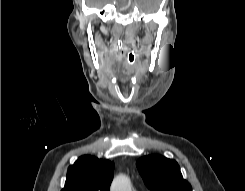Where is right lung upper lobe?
I'll use <instances>...</instances> for the list:
<instances>
[{"label": "right lung upper lobe", "instance_id": "right-lung-upper-lobe-1", "mask_svg": "<svg viewBox=\"0 0 245 191\" xmlns=\"http://www.w3.org/2000/svg\"><path fill=\"white\" fill-rule=\"evenodd\" d=\"M114 163L94 156H81L67 172L61 191H109Z\"/></svg>", "mask_w": 245, "mask_h": 191}]
</instances>
